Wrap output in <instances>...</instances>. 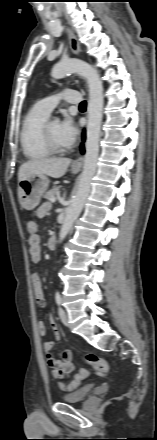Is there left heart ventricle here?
<instances>
[{"label":"left heart ventricle","mask_w":157,"mask_h":440,"mask_svg":"<svg viewBox=\"0 0 157 440\" xmlns=\"http://www.w3.org/2000/svg\"><path fill=\"white\" fill-rule=\"evenodd\" d=\"M49 132H50L51 137L53 138V140L58 145L67 146L66 143L61 138L59 123H57V122H50V124H49Z\"/></svg>","instance_id":"b2bd125f"}]
</instances>
